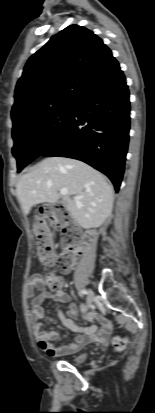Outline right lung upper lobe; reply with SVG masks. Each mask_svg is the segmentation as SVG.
I'll use <instances>...</instances> for the list:
<instances>
[{"mask_svg":"<svg viewBox=\"0 0 155 413\" xmlns=\"http://www.w3.org/2000/svg\"><path fill=\"white\" fill-rule=\"evenodd\" d=\"M118 68L101 38L79 25L66 27L27 61L15 89L13 128L53 108L75 103Z\"/></svg>","mask_w":155,"mask_h":413,"instance_id":"1","label":"right lung upper lobe"}]
</instances>
